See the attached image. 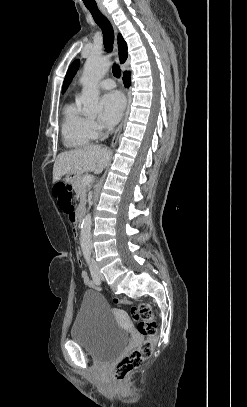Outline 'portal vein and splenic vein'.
Instances as JSON below:
<instances>
[{"label": "portal vein and splenic vein", "instance_id": "obj_1", "mask_svg": "<svg viewBox=\"0 0 247 407\" xmlns=\"http://www.w3.org/2000/svg\"><path fill=\"white\" fill-rule=\"evenodd\" d=\"M92 177L91 176H85L84 178H83V183L84 184H89L90 182H92Z\"/></svg>", "mask_w": 247, "mask_h": 407}]
</instances>
